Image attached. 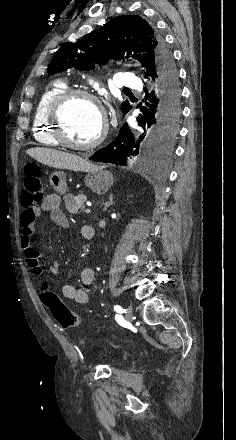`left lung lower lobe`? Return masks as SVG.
Wrapping results in <instances>:
<instances>
[{
  "instance_id": "obj_1",
  "label": "left lung lower lobe",
  "mask_w": 236,
  "mask_h": 440,
  "mask_svg": "<svg viewBox=\"0 0 236 440\" xmlns=\"http://www.w3.org/2000/svg\"><path fill=\"white\" fill-rule=\"evenodd\" d=\"M145 78L151 91L145 90L137 108L138 127L130 129L125 123L116 139L98 150L89 159L127 165V161L142 155H162L178 132L181 117V91L174 61H161L146 67ZM131 109L128 107L127 113ZM124 113V114H125Z\"/></svg>"
}]
</instances>
